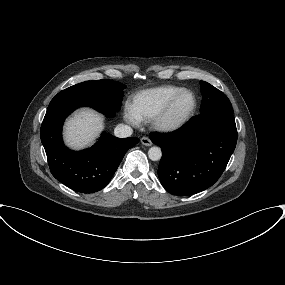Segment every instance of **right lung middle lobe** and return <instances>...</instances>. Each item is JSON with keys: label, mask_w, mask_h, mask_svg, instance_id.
Wrapping results in <instances>:
<instances>
[{"label": "right lung middle lobe", "mask_w": 285, "mask_h": 285, "mask_svg": "<svg viewBox=\"0 0 285 285\" xmlns=\"http://www.w3.org/2000/svg\"><path fill=\"white\" fill-rule=\"evenodd\" d=\"M125 87L122 83L106 79L85 81L62 90L57 95H68L102 110L118 112Z\"/></svg>", "instance_id": "obj_1"}]
</instances>
